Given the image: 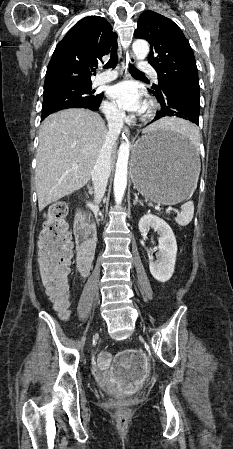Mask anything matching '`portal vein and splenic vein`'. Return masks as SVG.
Returning a JSON list of instances; mask_svg holds the SVG:
<instances>
[{
    "label": "portal vein and splenic vein",
    "instance_id": "1",
    "mask_svg": "<svg viewBox=\"0 0 233 449\" xmlns=\"http://www.w3.org/2000/svg\"><path fill=\"white\" fill-rule=\"evenodd\" d=\"M77 167H78L77 165H73V168H74V169H77ZM173 210H174V208L168 207V208H166L165 211H166V213H170V212L173 211ZM177 212H178V211H177Z\"/></svg>",
    "mask_w": 233,
    "mask_h": 449
}]
</instances>
